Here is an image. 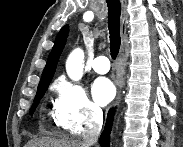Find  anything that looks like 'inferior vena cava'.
Here are the masks:
<instances>
[{"mask_svg":"<svg viewBox=\"0 0 183 147\" xmlns=\"http://www.w3.org/2000/svg\"><path fill=\"white\" fill-rule=\"evenodd\" d=\"M103 124V112L96 109L93 114L92 122L83 133V143L86 147L96 144Z\"/></svg>","mask_w":183,"mask_h":147,"instance_id":"inferior-vena-cava-1","label":"inferior vena cava"}]
</instances>
